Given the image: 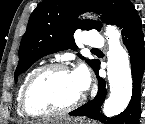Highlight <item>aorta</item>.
<instances>
[{"instance_id": "obj_1", "label": "aorta", "mask_w": 145, "mask_h": 124, "mask_svg": "<svg viewBox=\"0 0 145 124\" xmlns=\"http://www.w3.org/2000/svg\"><path fill=\"white\" fill-rule=\"evenodd\" d=\"M105 35L108 39L107 75L110 95L104 102L103 113L113 117L122 113L132 97V75L128 53L120 44L121 34L116 26L108 25Z\"/></svg>"}]
</instances>
